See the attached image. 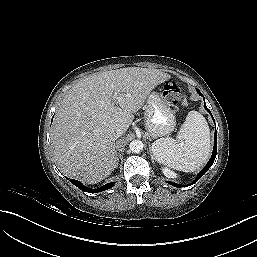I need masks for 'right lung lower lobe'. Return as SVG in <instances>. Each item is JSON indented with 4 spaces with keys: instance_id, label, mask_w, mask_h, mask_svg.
<instances>
[{
    "instance_id": "98d812e1",
    "label": "right lung lower lobe",
    "mask_w": 257,
    "mask_h": 257,
    "mask_svg": "<svg viewBox=\"0 0 257 257\" xmlns=\"http://www.w3.org/2000/svg\"><path fill=\"white\" fill-rule=\"evenodd\" d=\"M53 119V118H52ZM71 183L74 184L76 187H78L79 189L85 191V192H89V193H98V192H101V191H105V190H108L109 188L113 187L114 186V183L111 182V183H108L106 185H104L103 187L101 188H97V189H90V188H87L85 187L81 182L77 181V180H73V179H70Z\"/></svg>"
}]
</instances>
